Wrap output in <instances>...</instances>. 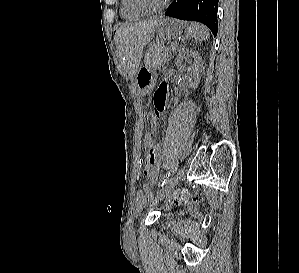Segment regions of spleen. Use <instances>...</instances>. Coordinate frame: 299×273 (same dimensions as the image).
Returning a JSON list of instances; mask_svg holds the SVG:
<instances>
[{
    "label": "spleen",
    "mask_w": 299,
    "mask_h": 273,
    "mask_svg": "<svg viewBox=\"0 0 299 273\" xmlns=\"http://www.w3.org/2000/svg\"><path fill=\"white\" fill-rule=\"evenodd\" d=\"M187 32L188 35L200 42L206 41L210 36L207 27L196 22H190L187 24Z\"/></svg>",
    "instance_id": "1"
}]
</instances>
